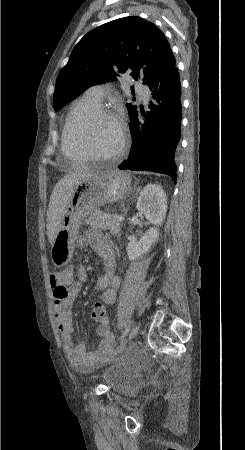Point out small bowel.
Instances as JSON below:
<instances>
[{
    "mask_svg": "<svg viewBox=\"0 0 245 450\" xmlns=\"http://www.w3.org/2000/svg\"><path fill=\"white\" fill-rule=\"evenodd\" d=\"M78 244L83 247H91L105 261L106 270L97 280L95 289L100 292L103 303L111 305L120 285V277L116 275V254L112 242L107 236L88 230L79 236ZM86 280L87 272L83 267H79L76 274L70 271L67 274L53 273L50 275L54 318L60 333L61 344L69 362L80 372L94 370L101 358L112 348L114 342V336L109 322H107L98 326L97 333L102 339L96 349L89 351L85 343H74L71 323L72 307ZM65 281H68L67 285L61 287Z\"/></svg>",
    "mask_w": 245,
    "mask_h": 450,
    "instance_id": "obj_1",
    "label": "small bowel"
}]
</instances>
